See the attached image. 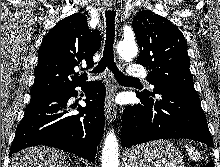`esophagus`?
<instances>
[{
  "label": "esophagus",
  "instance_id": "esophagus-1",
  "mask_svg": "<svg viewBox=\"0 0 220 167\" xmlns=\"http://www.w3.org/2000/svg\"><path fill=\"white\" fill-rule=\"evenodd\" d=\"M109 9L112 8V6H108ZM108 77L111 79V73L108 72ZM116 93V86L111 83L109 85V88L107 90L106 98H105V116L107 121L112 120L113 112L112 110L114 109V96Z\"/></svg>",
  "mask_w": 220,
  "mask_h": 167
}]
</instances>
